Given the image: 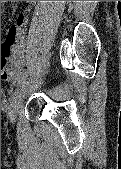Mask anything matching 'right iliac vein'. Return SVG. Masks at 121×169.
<instances>
[{
  "instance_id": "obj_1",
  "label": "right iliac vein",
  "mask_w": 121,
  "mask_h": 169,
  "mask_svg": "<svg viewBox=\"0 0 121 169\" xmlns=\"http://www.w3.org/2000/svg\"><path fill=\"white\" fill-rule=\"evenodd\" d=\"M34 81V79H30L28 81H23L19 84L18 88L14 92L9 109V117L12 123L15 122L17 113L20 109L21 103L23 101L24 95L30 86V84Z\"/></svg>"
}]
</instances>
